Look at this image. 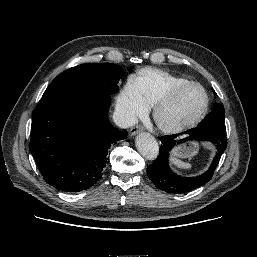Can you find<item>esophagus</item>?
<instances>
[{"label":"esophagus","instance_id":"obj_1","mask_svg":"<svg viewBox=\"0 0 257 257\" xmlns=\"http://www.w3.org/2000/svg\"><path fill=\"white\" fill-rule=\"evenodd\" d=\"M142 131H143V127L140 126V125H137V126H134V127H132V128L130 129L129 134H130L131 136H134V135H136L137 133L142 132Z\"/></svg>","mask_w":257,"mask_h":257}]
</instances>
